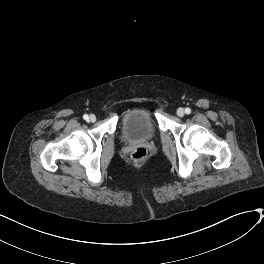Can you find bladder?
<instances>
[{"label": "bladder", "mask_w": 264, "mask_h": 264, "mask_svg": "<svg viewBox=\"0 0 264 264\" xmlns=\"http://www.w3.org/2000/svg\"><path fill=\"white\" fill-rule=\"evenodd\" d=\"M157 128L150 111L133 107L123 115V136L128 142L149 141L155 138Z\"/></svg>", "instance_id": "bladder-1"}]
</instances>
